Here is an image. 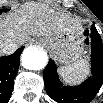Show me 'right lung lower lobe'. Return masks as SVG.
Here are the masks:
<instances>
[{
  "mask_svg": "<svg viewBox=\"0 0 103 103\" xmlns=\"http://www.w3.org/2000/svg\"><path fill=\"white\" fill-rule=\"evenodd\" d=\"M24 47L14 54L0 58V90L1 96L8 98L13 90L14 78L19 68L20 54Z\"/></svg>",
  "mask_w": 103,
  "mask_h": 103,
  "instance_id": "1",
  "label": "right lung lower lobe"
}]
</instances>
